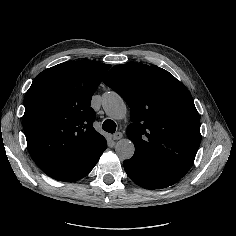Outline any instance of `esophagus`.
<instances>
[{"instance_id": "esophagus-1", "label": "esophagus", "mask_w": 236, "mask_h": 236, "mask_svg": "<svg viewBox=\"0 0 236 236\" xmlns=\"http://www.w3.org/2000/svg\"><path fill=\"white\" fill-rule=\"evenodd\" d=\"M123 137V134L121 132H116L114 135H113V139L114 140H118L120 138Z\"/></svg>"}]
</instances>
